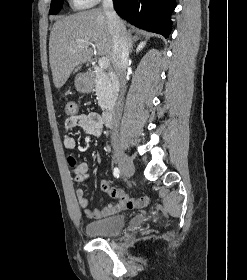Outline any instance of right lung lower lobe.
Instances as JSON below:
<instances>
[{
  "instance_id": "98d812e1",
  "label": "right lung lower lobe",
  "mask_w": 247,
  "mask_h": 280,
  "mask_svg": "<svg viewBox=\"0 0 247 280\" xmlns=\"http://www.w3.org/2000/svg\"><path fill=\"white\" fill-rule=\"evenodd\" d=\"M122 18L147 31L168 37L176 0H113Z\"/></svg>"
}]
</instances>
